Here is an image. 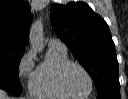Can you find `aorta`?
Instances as JSON below:
<instances>
[{
    "label": "aorta",
    "instance_id": "obj_1",
    "mask_svg": "<svg viewBox=\"0 0 128 99\" xmlns=\"http://www.w3.org/2000/svg\"><path fill=\"white\" fill-rule=\"evenodd\" d=\"M30 43L34 47L41 48L42 45V24L40 21L32 25L30 32Z\"/></svg>",
    "mask_w": 128,
    "mask_h": 99
}]
</instances>
